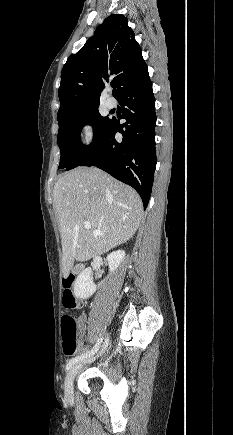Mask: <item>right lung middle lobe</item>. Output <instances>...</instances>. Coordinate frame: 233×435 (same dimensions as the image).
<instances>
[{
	"mask_svg": "<svg viewBox=\"0 0 233 435\" xmlns=\"http://www.w3.org/2000/svg\"><path fill=\"white\" fill-rule=\"evenodd\" d=\"M112 119L102 117L98 107L79 115L58 118L59 131L57 143L61 157L59 168L73 169L87 158L92 149L105 135ZM86 124L93 126L94 138L89 146L80 141V131Z\"/></svg>",
	"mask_w": 233,
	"mask_h": 435,
	"instance_id": "obj_1",
	"label": "right lung middle lobe"
}]
</instances>
